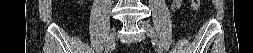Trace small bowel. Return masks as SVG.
I'll return each mask as SVG.
<instances>
[{
  "mask_svg": "<svg viewBox=\"0 0 253 53\" xmlns=\"http://www.w3.org/2000/svg\"><path fill=\"white\" fill-rule=\"evenodd\" d=\"M178 6H179V1H176V2L174 3V5H173V8H174V9H177Z\"/></svg>",
  "mask_w": 253,
  "mask_h": 53,
  "instance_id": "small-bowel-1",
  "label": "small bowel"
}]
</instances>
